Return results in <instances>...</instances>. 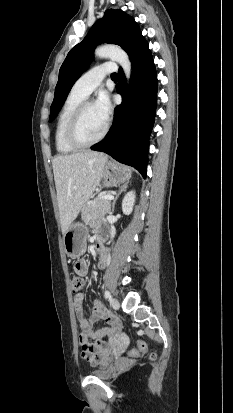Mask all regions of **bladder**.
Here are the masks:
<instances>
[{"label": "bladder", "instance_id": "bladder-1", "mask_svg": "<svg viewBox=\"0 0 233 413\" xmlns=\"http://www.w3.org/2000/svg\"><path fill=\"white\" fill-rule=\"evenodd\" d=\"M114 372H115V367L111 363H108L107 365L103 367L93 370L90 374L100 379H108L112 377Z\"/></svg>", "mask_w": 233, "mask_h": 413}]
</instances>
